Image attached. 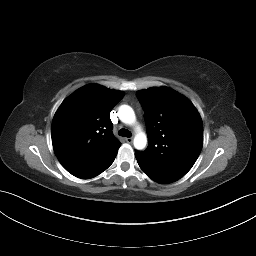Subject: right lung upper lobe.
I'll return each instance as SVG.
<instances>
[{
	"instance_id": "obj_1",
	"label": "right lung upper lobe",
	"mask_w": 256,
	"mask_h": 256,
	"mask_svg": "<svg viewBox=\"0 0 256 256\" xmlns=\"http://www.w3.org/2000/svg\"><path fill=\"white\" fill-rule=\"evenodd\" d=\"M123 96L121 91L89 84L60 105L52 121V144L67 171L118 151L121 143L113 135L110 112Z\"/></svg>"
}]
</instances>
